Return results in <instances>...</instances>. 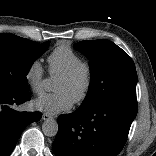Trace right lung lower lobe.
Returning a JSON list of instances; mask_svg holds the SVG:
<instances>
[{"instance_id":"obj_1","label":"right lung lower lobe","mask_w":156,"mask_h":156,"mask_svg":"<svg viewBox=\"0 0 156 156\" xmlns=\"http://www.w3.org/2000/svg\"><path fill=\"white\" fill-rule=\"evenodd\" d=\"M29 99L28 90L15 92L0 88V156H9L25 127L41 118L40 112H18L11 108Z\"/></svg>"}]
</instances>
